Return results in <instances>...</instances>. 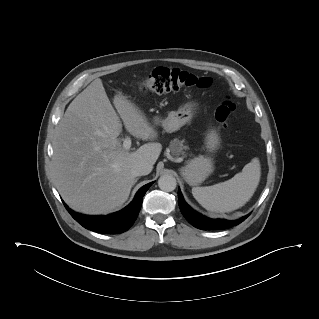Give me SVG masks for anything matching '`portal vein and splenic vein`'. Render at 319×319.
<instances>
[{
    "mask_svg": "<svg viewBox=\"0 0 319 319\" xmlns=\"http://www.w3.org/2000/svg\"><path fill=\"white\" fill-rule=\"evenodd\" d=\"M130 147H131V139L129 137H126L123 140V148L126 149V150H129Z\"/></svg>",
    "mask_w": 319,
    "mask_h": 319,
    "instance_id": "portal-vein-and-splenic-vein-1",
    "label": "portal vein and splenic vein"
}]
</instances>
